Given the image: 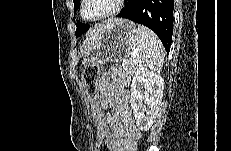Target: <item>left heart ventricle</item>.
I'll list each match as a JSON object with an SVG mask.
<instances>
[{"mask_svg":"<svg viewBox=\"0 0 231 151\" xmlns=\"http://www.w3.org/2000/svg\"><path fill=\"white\" fill-rule=\"evenodd\" d=\"M111 0H89L85 13L87 16H95L109 10Z\"/></svg>","mask_w":231,"mask_h":151,"instance_id":"left-heart-ventricle-1","label":"left heart ventricle"}]
</instances>
